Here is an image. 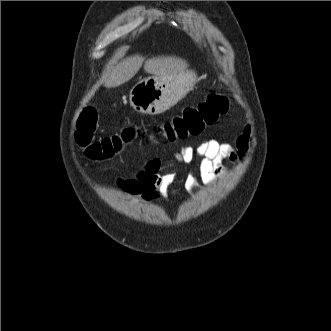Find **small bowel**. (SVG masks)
<instances>
[{"label":"small bowel","instance_id":"obj_1","mask_svg":"<svg viewBox=\"0 0 331 331\" xmlns=\"http://www.w3.org/2000/svg\"><path fill=\"white\" fill-rule=\"evenodd\" d=\"M252 145V132L249 127L237 138L235 146L220 144L216 140H205L196 147L185 146L174 154V161L191 164L185 186L191 191L198 190V180L204 185H214L218 179L226 175L222 166L224 160L240 165ZM176 180V173L160 159L145 162L131 178H118L117 185L127 194L143 201H153L166 197L171 185Z\"/></svg>","mask_w":331,"mask_h":331}]
</instances>
